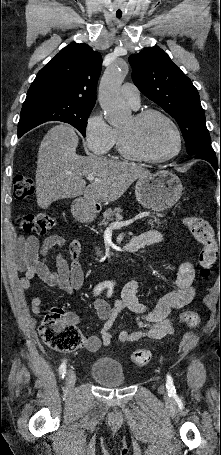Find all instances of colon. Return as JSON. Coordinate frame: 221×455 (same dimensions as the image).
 I'll return each instance as SVG.
<instances>
[{
    "mask_svg": "<svg viewBox=\"0 0 221 455\" xmlns=\"http://www.w3.org/2000/svg\"><path fill=\"white\" fill-rule=\"evenodd\" d=\"M34 182L31 178L18 176L14 180L13 196L17 200L25 199L34 192ZM56 224V219L48 213H26L21 218V228L25 232L46 234ZM185 224L197 242L202 246L199 252V273L207 279L217 261L221 257V244L218 245L208 222L197 216H189ZM183 323L194 326L198 316L193 311H185L180 315ZM40 336L45 344L58 352H71L84 344V337L74 322L60 308L48 311L40 325ZM147 350H136L131 355V361L136 366H144L150 360Z\"/></svg>",
    "mask_w": 221,
    "mask_h": 455,
    "instance_id": "5ec220e1",
    "label": "colon"
}]
</instances>
